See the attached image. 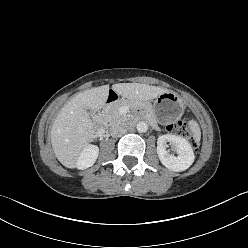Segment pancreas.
Listing matches in <instances>:
<instances>
[{
	"instance_id": "obj_1",
	"label": "pancreas",
	"mask_w": 248,
	"mask_h": 248,
	"mask_svg": "<svg viewBox=\"0 0 248 248\" xmlns=\"http://www.w3.org/2000/svg\"><path fill=\"white\" fill-rule=\"evenodd\" d=\"M128 105L127 101H121L120 103L113 105L109 107L105 111V120L106 122H109L110 124H113L115 122H120V121H126L127 116L123 115L119 112V109L123 106Z\"/></svg>"
}]
</instances>
